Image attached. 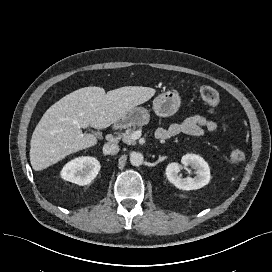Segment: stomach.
Returning a JSON list of instances; mask_svg holds the SVG:
<instances>
[{
    "mask_svg": "<svg viewBox=\"0 0 272 272\" xmlns=\"http://www.w3.org/2000/svg\"><path fill=\"white\" fill-rule=\"evenodd\" d=\"M181 104V99L176 91H163L153 100V110L157 116L169 117L174 115ZM120 123L125 126H143L150 121L149 111L143 107H134L120 118Z\"/></svg>",
    "mask_w": 272,
    "mask_h": 272,
    "instance_id": "obj_1",
    "label": "stomach"
}]
</instances>
